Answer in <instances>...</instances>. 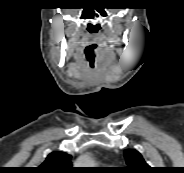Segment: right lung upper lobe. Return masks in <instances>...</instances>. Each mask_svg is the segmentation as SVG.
Here are the masks:
<instances>
[{
    "label": "right lung upper lobe",
    "instance_id": "obj_1",
    "mask_svg": "<svg viewBox=\"0 0 184 173\" xmlns=\"http://www.w3.org/2000/svg\"><path fill=\"white\" fill-rule=\"evenodd\" d=\"M71 155L55 151L49 154L46 160L35 169L36 173H72Z\"/></svg>",
    "mask_w": 184,
    "mask_h": 173
}]
</instances>
